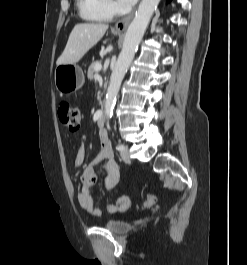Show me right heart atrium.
Listing matches in <instances>:
<instances>
[{
	"label": "right heart atrium",
	"instance_id": "obj_1",
	"mask_svg": "<svg viewBox=\"0 0 247 265\" xmlns=\"http://www.w3.org/2000/svg\"><path fill=\"white\" fill-rule=\"evenodd\" d=\"M102 10L109 16H113L118 12V6L113 0H100Z\"/></svg>",
	"mask_w": 247,
	"mask_h": 265
}]
</instances>
